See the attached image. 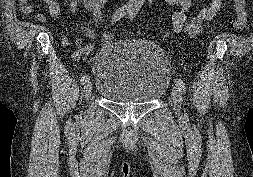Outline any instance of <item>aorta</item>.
Wrapping results in <instances>:
<instances>
[{
  "instance_id": "762f6f07",
  "label": "aorta",
  "mask_w": 253,
  "mask_h": 177,
  "mask_svg": "<svg viewBox=\"0 0 253 177\" xmlns=\"http://www.w3.org/2000/svg\"><path fill=\"white\" fill-rule=\"evenodd\" d=\"M130 1H132L138 5H142L145 2V0H130Z\"/></svg>"
}]
</instances>
